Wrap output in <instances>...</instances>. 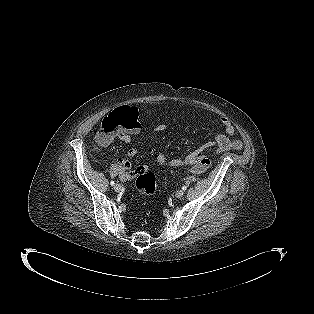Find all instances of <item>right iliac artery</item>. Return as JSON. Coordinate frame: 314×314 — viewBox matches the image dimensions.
<instances>
[{
  "label": "right iliac artery",
  "instance_id": "82829eb1",
  "mask_svg": "<svg viewBox=\"0 0 314 314\" xmlns=\"http://www.w3.org/2000/svg\"><path fill=\"white\" fill-rule=\"evenodd\" d=\"M110 184H111L112 186H114L115 182H114V181H111Z\"/></svg>",
  "mask_w": 314,
  "mask_h": 314
}]
</instances>
